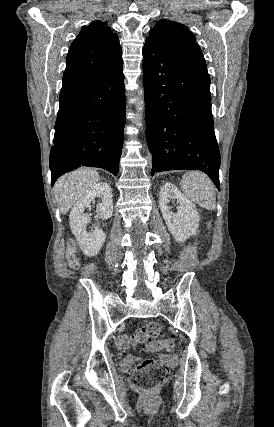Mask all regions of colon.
Here are the masks:
<instances>
[{
	"label": "colon",
	"mask_w": 274,
	"mask_h": 427,
	"mask_svg": "<svg viewBox=\"0 0 274 427\" xmlns=\"http://www.w3.org/2000/svg\"><path fill=\"white\" fill-rule=\"evenodd\" d=\"M66 261L70 268L79 266L76 245L72 240L67 243ZM116 344L122 351L143 344H151L159 349H172L174 346L172 339L155 322H148L132 333L118 335ZM168 375L169 369L166 365L155 359L146 358L131 369L130 380L133 388L139 390L140 395H157L158 389L163 388Z\"/></svg>",
	"instance_id": "obj_1"
}]
</instances>
